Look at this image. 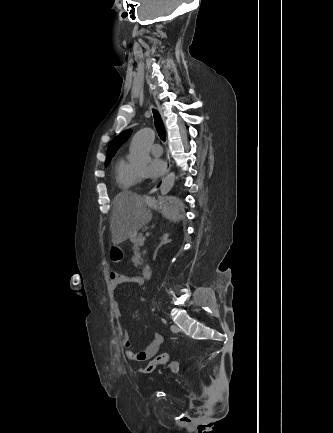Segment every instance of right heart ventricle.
<instances>
[{"label": "right heart ventricle", "mask_w": 333, "mask_h": 433, "mask_svg": "<svg viewBox=\"0 0 333 433\" xmlns=\"http://www.w3.org/2000/svg\"><path fill=\"white\" fill-rule=\"evenodd\" d=\"M114 177L118 188L127 191L138 182L137 169L124 157H118L114 165Z\"/></svg>", "instance_id": "right-heart-ventricle-1"}]
</instances>
